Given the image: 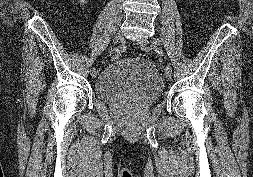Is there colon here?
I'll return each instance as SVG.
<instances>
[{"instance_id": "obj_1", "label": "colon", "mask_w": 253, "mask_h": 177, "mask_svg": "<svg viewBox=\"0 0 253 177\" xmlns=\"http://www.w3.org/2000/svg\"><path fill=\"white\" fill-rule=\"evenodd\" d=\"M119 59V55L118 54H114L113 56H112V60H118Z\"/></svg>"}]
</instances>
